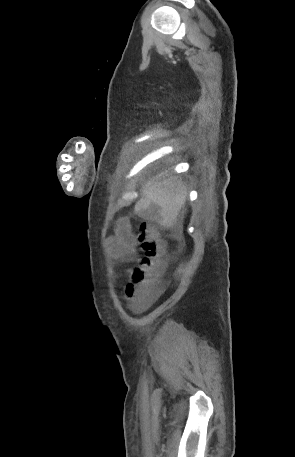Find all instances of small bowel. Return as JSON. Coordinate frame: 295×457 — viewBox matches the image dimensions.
<instances>
[{
	"label": "small bowel",
	"mask_w": 295,
	"mask_h": 457,
	"mask_svg": "<svg viewBox=\"0 0 295 457\" xmlns=\"http://www.w3.org/2000/svg\"><path fill=\"white\" fill-rule=\"evenodd\" d=\"M138 239L127 218H120L115 225L114 234L109 238V246L114 257L123 262H130L136 255ZM165 290L163 283L153 284L147 298L137 306L143 309L151 304Z\"/></svg>",
	"instance_id": "1"
}]
</instances>
